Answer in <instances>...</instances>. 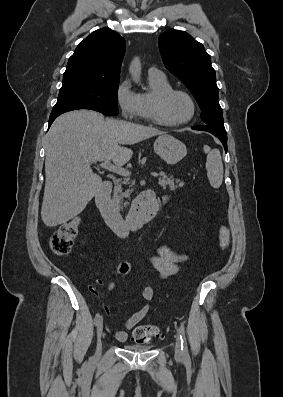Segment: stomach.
Returning <instances> with one entry per match:
<instances>
[{"instance_id":"1","label":"stomach","mask_w":283,"mask_h":397,"mask_svg":"<svg viewBox=\"0 0 283 397\" xmlns=\"http://www.w3.org/2000/svg\"><path fill=\"white\" fill-rule=\"evenodd\" d=\"M154 151L162 160L170 165L178 163L187 154L185 144L168 134L160 135L156 139Z\"/></svg>"}]
</instances>
